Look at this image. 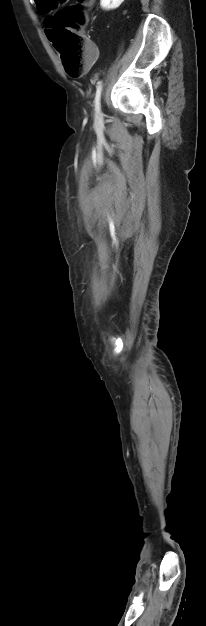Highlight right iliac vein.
I'll return each mask as SVG.
<instances>
[{
    "label": "right iliac vein",
    "instance_id": "1",
    "mask_svg": "<svg viewBox=\"0 0 206 626\" xmlns=\"http://www.w3.org/2000/svg\"><path fill=\"white\" fill-rule=\"evenodd\" d=\"M101 116H102L101 112H100V111H99V112H97V114H96V119H97V120H100V119H101Z\"/></svg>",
    "mask_w": 206,
    "mask_h": 626
}]
</instances>
